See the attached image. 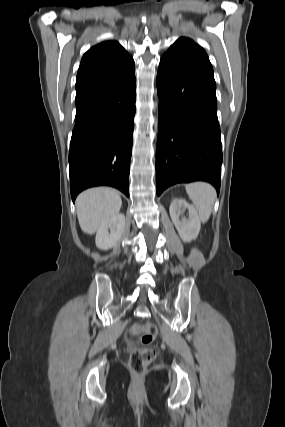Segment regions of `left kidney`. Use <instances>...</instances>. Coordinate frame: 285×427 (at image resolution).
Instances as JSON below:
<instances>
[{
  "label": "left kidney",
  "mask_w": 285,
  "mask_h": 427,
  "mask_svg": "<svg viewBox=\"0 0 285 427\" xmlns=\"http://www.w3.org/2000/svg\"><path fill=\"white\" fill-rule=\"evenodd\" d=\"M188 210V219H179L183 211ZM170 217L174 223L180 238L184 242H190L198 237L201 224L196 209L186 200L181 198L174 199L169 208Z\"/></svg>",
  "instance_id": "left-kidney-1"
}]
</instances>
